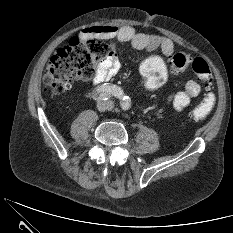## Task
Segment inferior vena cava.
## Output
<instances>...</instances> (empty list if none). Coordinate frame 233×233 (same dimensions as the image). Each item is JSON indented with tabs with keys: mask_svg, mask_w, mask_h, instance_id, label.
<instances>
[{
	"mask_svg": "<svg viewBox=\"0 0 233 233\" xmlns=\"http://www.w3.org/2000/svg\"><path fill=\"white\" fill-rule=\"evenodd\" d=\"M114 108L113 101H107L104 103V109L106 110H112Z\"/></svg>",
	"mask_w": 233,
	"mask_h": 233,
	"instance_id": "inferior-vena-cava-1",
	"label": "inferior vena cava"
}]
</instances>
